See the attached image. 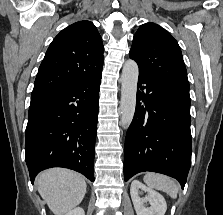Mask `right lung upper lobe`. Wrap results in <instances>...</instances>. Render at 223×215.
<instances>
[{"label":"right lung upper lobe","instance_id":"cb5924a9","mask_svg":"<svg viewBox=\"0 0 223 215\" xmlns=\"http://www.w3.org/2000/svg\"><path fill=\"white\" fill-rule=\"evenodd\" d=\"M101 36L92 22H76L52 41L39 67L31 97H43L94 77L102 71Z\"/></svg>","mask_w":223,"mask_h":215}]
</instances>
